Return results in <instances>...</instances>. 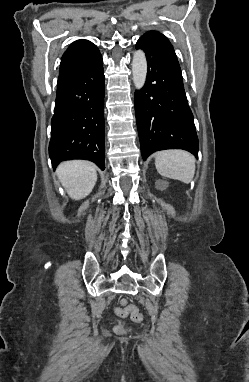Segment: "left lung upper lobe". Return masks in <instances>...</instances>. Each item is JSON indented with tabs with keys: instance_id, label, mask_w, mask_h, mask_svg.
<instances>
[{
	"instance_id": "1",
	"label": "left lung upper lobe",
	"mask_w": 249,
	"mask_h": 382,
	"mask_svg": "<svg viewBox=\"0 0 249 382\" xmlns=\"http://www.w3.org/2000/svg\"><path fill=\"white\" fill-rule=\"evenodd\" d=\"M142 38H145L146 40L150 41L157 48L166 52L168 55H170L172 58H174L178 62L173 46L171 45L167 37L161 34L160 32L148 31L142 36Z\"/></svg>"
}]
</instances>
